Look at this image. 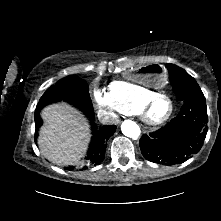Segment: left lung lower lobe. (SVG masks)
I'll return each instance as SVG.
<instances>
[{"mask_svg":"<svg viewBox=\"0 0 221 221\" xmlns=\"http://www.w3.org/2000/svg\"><path fill=\"white\" fill-rule=\"evenodd\" d=\"M208 131L205 97L183 102L180 113L159 130L140 139L142 155L148 161L174 165L198 153Z\"/></svg>","mask_w":221,"mask_h":221,"instance_id":"left-lung-lower-lobe-1","label":"left lung lower lobe"}]
</instances>
